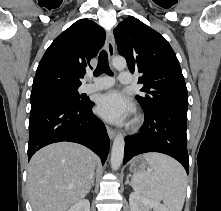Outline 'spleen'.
Listing matches in <instances>:
<instances>
[{
    "mask_svg": "<svg viewBox=\"0 0 221 211\" xmlns=\"http://www.w3.org/2000/svg\"><path fill=\"white\" fill-rule=\"evenodd\" d=\"M143 158L151 170L133 175V189L149 199L162 200L169 211H181L187 186L184 168L173 158L160 153H147Z\"/></svg>",
    "mask_w": 221,
    "mask_h": 211,
    "instance_id": "obj_1",
    "label": "spleen"
}]
</instances>
